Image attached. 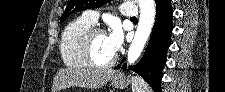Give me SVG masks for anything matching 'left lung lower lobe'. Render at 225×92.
<instances>
[{"label": "left lung lower lobe", "instance_id": "1", "mask_svg": "<svg viewBox=\"0 0 225 92\" xmlns=\"http://www.w3.org/2000/svg\"><path fill=\"white\" fill-rule=\"evenodd\" d=\"M172 15L171 0H156V19L150 42L141 61L129 67L142 76L155 92H161L162 70L166 62L167 50L171 44ZM115 69H127L124 59Z\"/></svg>", "mask_w": 225, "mask_h": 92}]
</instances>
